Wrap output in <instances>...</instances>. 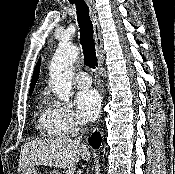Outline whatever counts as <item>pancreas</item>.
<instances>
[{"label": "pancreas", "instance_id": "obj_1", "mask_svg": "<svg viewBox=\"0 0 175 174\" xmlns=\"http://www.w3.org/2000/svg\"><path fill=\"white\" fill-rule=\"evenodd\" d=\"M51 174H53V173H51ZM65 174H74V170L73 169L66 170Z\"/></svg>", "mask_w": 175, "mask_h": 174}]
</instances>
